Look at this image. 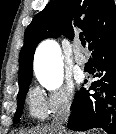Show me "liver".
Listing matches in <instances>:
<instances>
[{
  "mask_svg": "<svg viewBox=\"0 0 116 134\" xmlns=\"http://www.w3.org/2000/svg\"><path fill=\"white\" fill-rule=\"evenodd\" d=\"M24 134H58V133L55 131L53 126L51 127L45 126L43 128H38L36 130H32Z\"/></svg>",
  "mask_w": 116,
  "mask_h": 134,
  "instance_id": "1",
  "label": "liver"
}]
</instances>
